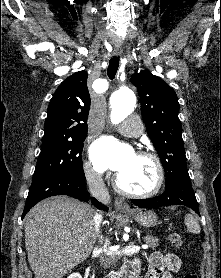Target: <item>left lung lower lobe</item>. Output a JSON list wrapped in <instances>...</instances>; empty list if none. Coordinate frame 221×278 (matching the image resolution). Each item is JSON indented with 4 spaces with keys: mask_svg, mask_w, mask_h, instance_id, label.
Masks as SVG:
<instances>
[{
    "mask_svg": "<svg viewBox=\"0 0 221 278\" xmlns=\"http://www.w3.org/2000/svg\"><path fill=\"white\" fill-rule=\"evenodd\" d=\"M140 208H153L171 205H184L199 214L198 203L188 174H183L165 186V192L153 198L131 200Z\"/></svg>",
    "mask_w": 221,
    "mask_h": 278,
    "instance_id": "left-lung-lower-lobe-1",
    "label": "left lung lower lobe"
}]
</instances>
